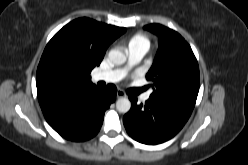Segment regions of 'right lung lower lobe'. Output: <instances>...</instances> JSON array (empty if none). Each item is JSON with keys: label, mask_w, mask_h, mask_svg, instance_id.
<instances>
[{"label": "right lung lower lobe", "mask_w": 248, "mask_h": 165, "mask_svg": "<svg viewBox=\"0 0 248 165\" xmlns=\"http://www.w3.org/2000/svg\"><path fill=\"white\" fill-rule=\"evenodd\" d=\"M117 88L113 84L105 89L95 88L72 102L43 111L48 124L62 137L72 141H85L100 130L105 111L115 101Z\"/></svg>", "instance_id": "98d812e1"}]
</instances>
